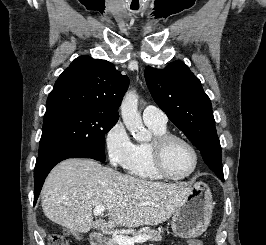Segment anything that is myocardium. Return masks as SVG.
<instances>
[{
    "instance_id": "obj_1",
    "label": "myocardium",
    "mask_w": 266,
    "mask_h": 245,
    "mask_svg": "<svg viewBox=\"0 0 266 245\" xmlns=\"http://www.w3.org/2000/svg\"><path fill=\"white\" fill-rule=\"evenodd\" d=\"M173 140H179L184 142L187 146L190 147L194 154V166L189 174H187L184 177L176 178L171 176L168 171L166 170L164 166V151L167 147V145L173 141ZM150 150V157L152 164L154 166L155 171L158 173V175L169 181L173 182H182L190 179L197 171L200 163V156L197 148L195 145L186 137L181 136L179 134H173V133H165L162 135L154 136L152 141L149 145Z\"/></svg>"
}]
</instances>
